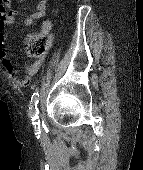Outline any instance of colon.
Wrapping results in <instances>:
<instances>
[{"mask_svg": "<svg viewBox=\"0 0 143 170\" xmlns=\"http://www.w3.org/2000/svg\"><path fill=\"white\" fill-rule=\"evenodd\" d=\"M9 0H0V21L8 16ZM50 37L45 34H33L26 40V52L31 57H40L50 46Z\"/></svg>", "mask_w": 143, "mask_h": 170, "instance_id": "1", "label": "colon"}]
</instances>
